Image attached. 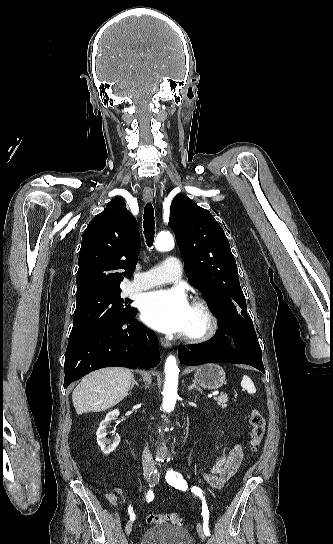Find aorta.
<instances>
[{"instance_id":"aorta-1","label":"aorta","mask_w":333,"mask_h":544,"mask_svg":"<svg viewBox=\"0 0 333 544\" xmlns=\"http://www.w3.org/2000/svg\"><path fill=\"white\" fill-rule=\"evenodd\" d=\"M174 245V240L169 232H161L157 235L155 247L158 251H166ZM179 368L176 358L169 356L165 362V383L163 389V404L165 411H172L177 400Z\"/></svg>"}]
</instances>
